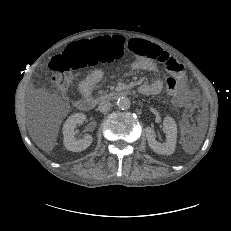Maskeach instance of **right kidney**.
I'll return each mask as SVG.
<instances>
[{"label":"right kidney","mask_w":231,"mask_h":231,"mask_svg":"<svg viewBox=\"0 0 231 231\" xmlns=\"http://www.w3.org/2000/svg\"><path fill=\"white\" fill-rule=\"evenodd\" d=\"M86 119V115L83 113H75L71 115L63 125V135H64V146L67 150L72 152H81L87 149L92 141L93 138L91 135H85L81 139L75 138V127L77 124H82Z\"/></svg>","instance_id":"right-kidney-1"}]
</instances>
